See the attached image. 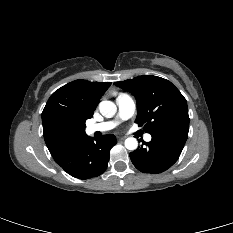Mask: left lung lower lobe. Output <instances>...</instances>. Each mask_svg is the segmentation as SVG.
Instances as JSON below:
<instances>
[{
    "label": "left lung lower lobe",
    "mask_w": 233,
    "mask_h": 233,
    "mask_svg": "<svg viewBox=\"0 0 233 233\" xmlns=\"http://www.w3.org/2000/svg\"><path fill=\"white\" fill-rule=\"evenodd\" d=\"M187 137L186 130L152 135V140L145 143L146 147L141 146L129 154L131 161L141 172L162 173L178 160Z\"/></svg>",
    "instance_id": "left-lung-lower-lobe-1"
}]
</instances>
